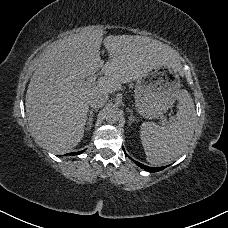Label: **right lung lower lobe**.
<instances>
[{"label":"right lung lower lobe","instance_id":"right-lung-lower-lobe-1","mask_svg":"<svg viewBox=\"0 0 228 228\" xmlns=\"http://www.w3.org/2000/svg\"><path fill=\"white\" fill-rule=\"evenodd\" d=\"M78 153H82V152H78ZM73 155L76 154V153H72Z\"/></svg>","mask_w":228,"mask_h":228}]
</instances>
